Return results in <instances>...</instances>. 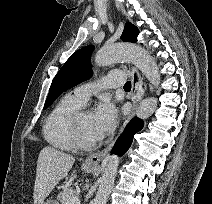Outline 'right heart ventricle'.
Segmentation results:
<instances>
[{
    "label": "right heart ventricle",
    "mask_w": 212,
    "mask_h": 204,
    "mask_svg": "<svg viewBox=\"0 0 212 204\" xmlns=\"http://www.w3.org/2000/svg\"><path fill=\"white\" fill-rule=\"evenodd\" d=\"M82 106L73 95H66L56 103L43 125V137L50 146L61 151L76 149L68 132V120Z\"/></svg>",
    "instance_id": "1"
}]
</instances>
